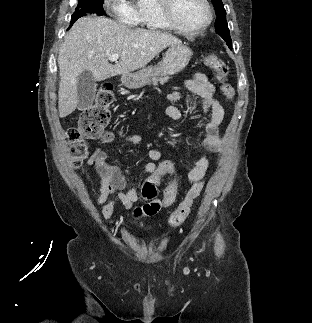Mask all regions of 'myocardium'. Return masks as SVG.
I'll return each instance as SVG.
<instances>
[{
	"label": "myocardium",
	"mask_w": 312,
	"mask_h": 323,
	"mask_svg": "<svg viewBox=\"0 0 312 323\" xmlns=\"http://www.w3.org/2000/svg\"><path fill=\"white\" fill-rule=\"evenodd\" d=\"M159 8L165 17L166 25H171V31H206L208 25H212L216 15L212 10L213 5L208 0H198L200 13H205L203 20H176L175 12H172L173 0H160Z\"/></svg>",
	"instance_id": "obj_1"
}]
</instances>
